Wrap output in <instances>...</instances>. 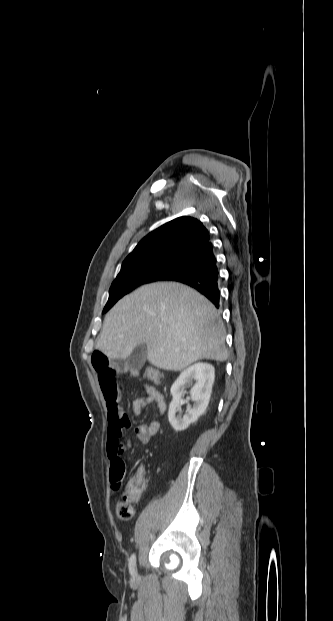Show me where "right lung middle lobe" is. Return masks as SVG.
<instances>
[{"label":"right lung middle lobe","instance_id":"obj_1","mask_svg":"<svg viewBox=\"0 0 333 621\" xmlns=\"http://www.w3.org/2000/svg\"><path fill=\"white\" fill-rule=\"evenodd\" d=\"M184 261V258L165 257L123 263L121 271L113 281L109 290V299L103 310L107 312L121 297L136 287L163 280Z\"/></svg>","mask_w":333,"mask_h":621}]
</instances>
